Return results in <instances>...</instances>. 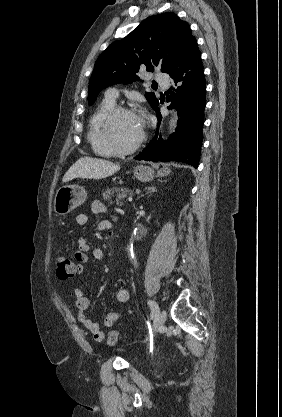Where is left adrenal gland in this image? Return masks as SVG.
<instances>
[{
  "label": "left adrenal gland",
  "instance_id": "obj_1",
  "mask_svg": "<svg viewBox=\"0 0 282 417\" xmlns=\"http://www.w3.org/2000/svg\"><path fill=\"white\" fill-rule=\"evenodd\" d=\"M156 186H154V184H152V186H145V190H148V192H156L155 190ZM148 192H146V194H148ZM143 196V194H142ZM140 198V196H139Z\"/></svg>",
  "mask_w": 282,
  "mask_h": 417
}]
</instances>
